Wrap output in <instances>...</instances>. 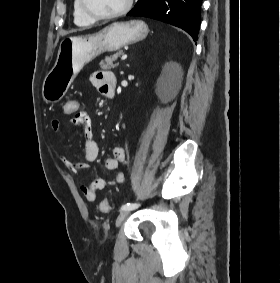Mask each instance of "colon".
<instances>
[{"label":"colon","instance_id":"1","mask_svg":"<svg viewBox=\"0 0 280 283\" xmlns=\"http://www.w3.org/2000/svg\"><path fill=\"white\" fill-rule=\"evenodd\" d=\"M80 104L78 97H69V99L64 100L63 107H60V112L62 116H73L74 112H80ZM110 210V205L107 200H103L100 203V211L102 213H108Z\"/></svg>","mask_w":280,"mask_h":283}]
</instances>
